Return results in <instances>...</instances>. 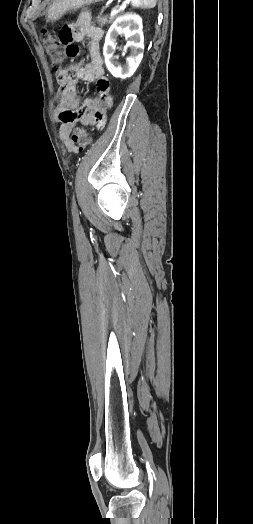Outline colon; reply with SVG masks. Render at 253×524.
<instances>
[{"label":"colon","mask_w":253,"mask_h":524,"mask_svg":"<svg viewBox=\"0 0 253 524\" xmlns=\"http://www.w3.org/2000/svg\"><path fill=\"white\" fill-rule=\"evenodd\" d=\"M43 45L46 53L51 61L52 67L59 70L64 63V45L58 41V33L43 29L41 33ZM108 110V109H106ZM64 117V114L61 115ZM72 147L76 152L84 150L90 143V135L84 127H77L74 129L71 136Z\"/></svg>","instance_id":"obj_1"}]
</instances>
